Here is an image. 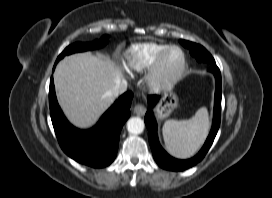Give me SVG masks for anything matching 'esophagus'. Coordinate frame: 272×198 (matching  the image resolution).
<instances>
[{"label": "esophagus", "mask_w": 272, "mask_h": 198, "mask_svg": "<svg viewBox=\"0 0 272 198\" xmlns=\"http://www.w3.org/2000/svg\"><path fill=\"white\" fill-rule=\"evenodd\" d=\"M133 111L138 116H143L146 113L147 109L144 104L139 103L135 105Z\"/></svg>", "instance_id": "34e87169"}]
</instances>
